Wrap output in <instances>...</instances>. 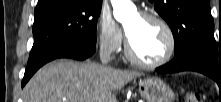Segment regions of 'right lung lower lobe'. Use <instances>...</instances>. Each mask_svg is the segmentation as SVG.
Masks as SVG:
<instances>
[{
  "label": "right lung lower lobe",
  "instance_id": "1",
  "mask_svg": "<svg viewBox=\"0 0 221 102\" xmlns=\"http://www.w3.org/2000/svg\"><path fill=\"white\" fill-rule=\"evenodd\" d=\"M95 50L96 45L80 41H64L47 48L36 57L28 60L22 80V87H24L31 76L45 63L57 58L84 60L93 55Z\"/></svg>",
  "mask_w": 221,
  "mask_h": 102
}]
</instances>
